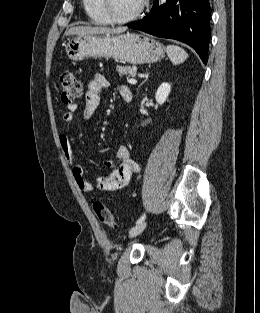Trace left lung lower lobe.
<instances>
[{
    "instance_id": "left-lung-lower-lobe-1",
    "label": "left lung lower lobe",
    "mask_w": 260,
    "mask_h": 313,
    "mask_svg": "<svg viewBox=\"0 0 260 313\" xmlns=\"http://www.w3.org/2000/svg\"><path fill=\"white\" fill-rule=\"evenodd\" d=\"M209 0H156L149 14L129 28L187 43L207 63Z\"/></svg>"
}]
</instances>
